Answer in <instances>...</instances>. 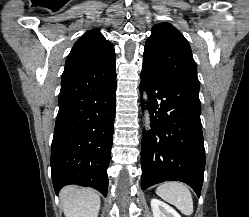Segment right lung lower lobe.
Masks as SVG:
<instances>
[{
	"mask_svg": "<svg viewBox=\"0 0 249 217\" xmlns=\"http://www.w3.org/2000/svg\"><path fill=\"white\" fill-rule=\"evenodd\" d=\"M116 57L87 68L65 70L51 147L56 194L68 184L108 190L116 107Z\"/></svg>",
	"mask_w": 249,
	"mask_h": 217,
	"instance_id": "right-lung-lower-lobe-1",
	"label": "right lung lower lobe"
}]
</instances>
